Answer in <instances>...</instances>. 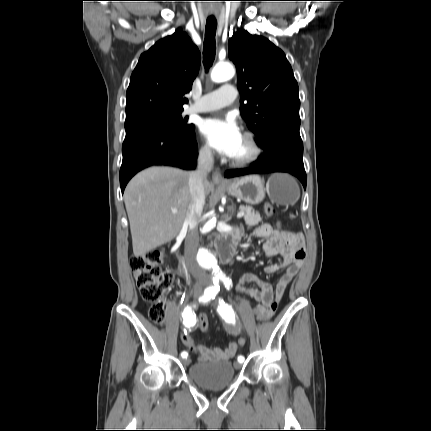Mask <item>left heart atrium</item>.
Masks as SVG:
<instances>
[{"label": "left heart atrium", "instance_id": "left-heart-atrium-1", "mask_svg": "<svg viewBox=\"0 0 431 431\" xmlns=\"http://www.w3.org/2000/svg\"><path fill=\"white\" fill-rule=\"evenodd\" d=\"M200 132L217 152L232 157L242 141V133L231 119L210 117L200 123Z\"/></svg>", "mask_w": 431, "mask_h": 431}]
</instances>
